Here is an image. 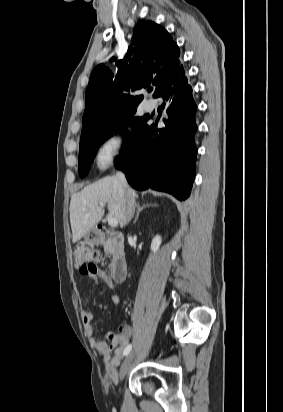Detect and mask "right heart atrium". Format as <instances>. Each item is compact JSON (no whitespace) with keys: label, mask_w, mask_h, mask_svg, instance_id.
I'll return each mask as SVG.
<instances>
[{"label":"right heart atrium","mask_w":283,"mask_h":412,"mask_svg":"<svg viewBox=\"0 0 283 412\" xmlns=\"http://www.w3.org/2000/svg\"><path fill=\"white\" fill-rule=\"evenodd\" d=\"M130 133L125 128L112 131L100 144L96 159L100 166H108L122 156L128 149Z\"/></svg>","instance_id":"d8ad5b80"}]
</instances>
